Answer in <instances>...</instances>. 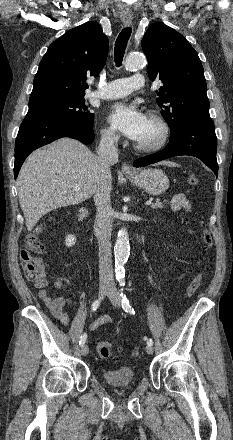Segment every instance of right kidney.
I'll return each instance as SVG.
<instances>
[{
    "instance_id": "obj_1",
    "label": "right kidney",
    "mask_w": 233,
    "mask_h": 440,
    "mask_svg": "<svg viewBox=\"0 0 233 440\" xmlns=\"http://www.w3.org/2000/svg\"><path fill=\"white\" fill-rule=\"evenodd\" d=\"M66 246L71 247L76 243V237L74 235H68L65 239Z\"/></svg>"
}]
</instances>
